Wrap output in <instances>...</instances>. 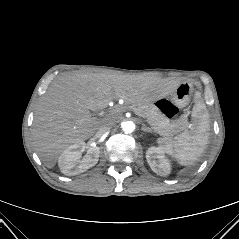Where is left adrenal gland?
<instances>
[{"label":"left adrenal gland","mask_w":239,"mask_h":239,"mask_svg":"<svg viewBox=\"0 0 239 239\" xmlns=\"http://www.w3.org/2000/svg\"><path fill=\"white\" fill-rule=\"evenodd\" d=\"M142 130L144 132L153 133V130L150 127L146 126L145 124H142Z\"/></svg>","instance_id":"left-adrenal-gland-1"}]
</instances>
